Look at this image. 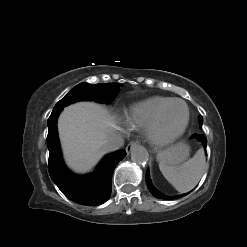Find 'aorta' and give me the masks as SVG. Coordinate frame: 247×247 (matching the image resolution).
<instances>
[{"mask_svg":"<svg viewBox=\"0 0 247 247\" xmlns=\"http://www.w3.org/2000/svg\"><path fill=\"white\" fill-rule=\"evenodd\" d=\"M131 159L135 164L141 166L147 164L149 157L144 148L137 146L131 152Z\"/></svg>","mask_w":247,"mask_h":247,"instance_id":"aorta-1","label":"aorta"}]
</instances>
